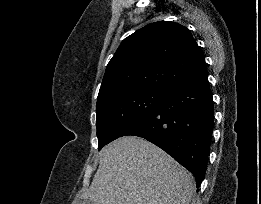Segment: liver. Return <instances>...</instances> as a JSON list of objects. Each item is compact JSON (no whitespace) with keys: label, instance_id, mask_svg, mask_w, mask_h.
<instances>
[{"label":"liver","instance_id":"6515ba94","mask_svg":"<svg viewBox=\"0 0 261 204\" xmlns=\"http://www.w3.org/2000/svg\"><path fill=\"white\" fill-rule=\"evenodd\" d=\"M99 157V168L89 189L79 193L77 200L89 199L93 204H189L191 201L192 174L143 138H118L104 147Z\"/></svg>","mask_w":261,"mask_h":204}]
</instances>
